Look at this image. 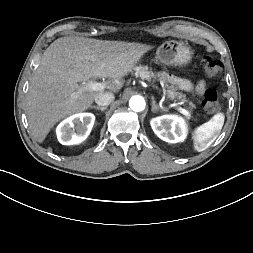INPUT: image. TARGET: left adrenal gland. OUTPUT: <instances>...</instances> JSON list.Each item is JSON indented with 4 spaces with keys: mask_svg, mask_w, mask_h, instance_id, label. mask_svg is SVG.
I'll return each instance as SVG.
<instances>
[{
    "mask_svg": "<svg viewBox=\"0 0 253 253\" xmlns=\"http://www.w3.org/2000/svg\"><path fill=\"white\" fill-rule=\"evenodd\" d=\"M158 110H159V107H158V105L156 104L154 97H152V108H151V111H152L153 113H155V112H157Z\"/></svg>",
    "mask_w": 253,
    "mask_h": 253,
    "instance_id": "left-adrenal-gland-1",
    "label": "left adrenal gland"
}]
</instances>
